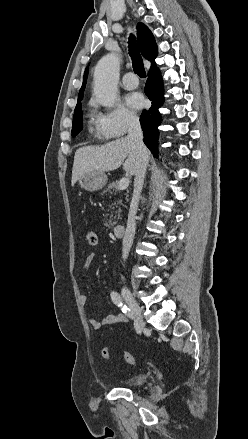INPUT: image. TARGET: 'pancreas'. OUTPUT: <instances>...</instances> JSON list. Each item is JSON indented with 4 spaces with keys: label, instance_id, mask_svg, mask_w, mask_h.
<instances>
[{
    "label": "pancreas",
    "instance_id": "cf45deb5",
    "mask_svg": "<svg viewBox=\"0 0 248 439\" xmlns=\"http://www.w3.org/2000/svg\"><path fill=\"white\" fill-rule=\"evenodd\" d=\"M118 184H119L118 181L109 183L107 188L105 190H103L102 194L112 193L111 190H113V191L118 190ZM119 204H122V200H120V199H118L117 203H114V205H119ZM118 212H120V211H118ZM114 225H116V222H112L111 220L108 223H106V227H108V228H111Z\"/></svg>",
    "mask_w": 248,
    "mask_h": 439
}]
</instances>
